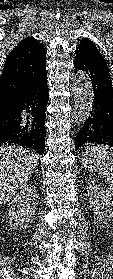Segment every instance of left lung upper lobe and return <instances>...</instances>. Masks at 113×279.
<instances>
[{"label":"left lung upper lobe","instance_id":"left-lung-upper-lobe-1","mask_svg":"<svg viewBox=\"0 0 113 279\" xmlns=\"http://www.w3.org/2000/svg\"><path fill=\"white\" fill-rule=\"evenodd\" d=\"M75 52L76 54H81L90 60L102 64L105 68L108 69L106 60L104 59L102 54L98 51L95 44L89 39H83L80 42Z\"/></svg>","mask_w":113,"mask_h":279}]
</instances>
